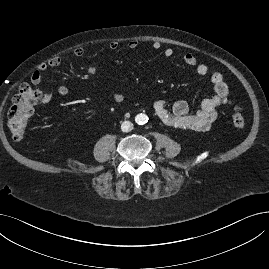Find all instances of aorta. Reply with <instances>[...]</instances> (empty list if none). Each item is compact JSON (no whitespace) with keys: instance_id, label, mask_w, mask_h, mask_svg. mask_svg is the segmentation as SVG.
Segmentation results:
<instances>
[{"instance_id":"aorta-1","label":"aorta","mask_w":269,"mask_h":269,"mask_svg":"<svg viewBox=\"0 0 269 269\" xmlns=\"http://www.w3.org/2000/svg\"><path fill=\"white\" fill-rule=\"evenodd\" d=\"M145 119H146V115H144V114H139V115H137V117H136V122H138V123H144V122H145Z\"/></svg>"}]
</instances>
